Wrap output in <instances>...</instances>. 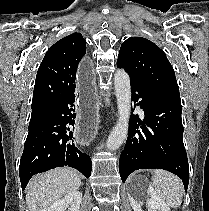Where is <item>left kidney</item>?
Listing matches in <instances>:
<instances>
[{
  "label": "left kidney",
  "instance_id": "left-kidney-1",
  "mask_svg": "<svg viewBox=\"0 0 209 211\" xmlns=\"http://www.w3.org/2000/svg\"><path fill=\"white\" fill-rule=\"evenodd\" d=\"M129 190L128 197L133 210L143 211L141 208L142 202L139 201V184L131 183ZM145 190L149 196V199L146 202L148 205V211H171L169 206L160 198L150 184H146Z\"/></svg>",
  "mask_w": 209,
  "mask_h": 211
}]
</instances>
